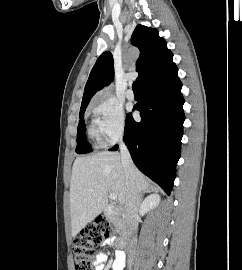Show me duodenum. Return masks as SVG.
I'll list each match as a JSON object with an SVG mask.
<instances>
[{
  "instance_id": "obj_1",
  "label": "duodenum",
  "mask_w": 242,
  "mask_h": 270,
  "mask_svg": "<svg viewBox=\"0 0 242 270\" xmlns=\"http://www.w3.org/2000/svg\"><path fill=\"white\" fill-rule=\"evenodd\" d=\"M117 213V210L112 207V206H109L107 207L104 212L102 213V216L103 217H111L113 216L114 214ZM131 237V233H128V235L126 237H122L118 240V246L121 247V248H124L126 247L127 245V242H128V239Z\"/></svg>"
}]
</instances>
